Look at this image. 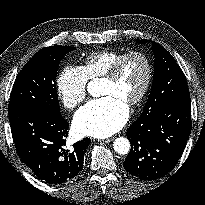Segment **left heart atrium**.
Listing matches in <instances>:
<instances>
[{"instance_id":"1","label":"left heart atrium","mask_w":205,"mask_h":205,"mask_svg":"<svg viewBox=\"0 0 205 205\" xmlns=\"http://www.w3.org/2000/svg\"><path fill=\"white\" fill-rule=\"evenodd\" d=\"M128 115L127 104L114 96H104L82 107L73 123L80 135L103 138L120 130Z\"/></svg>"}]
</instances>
